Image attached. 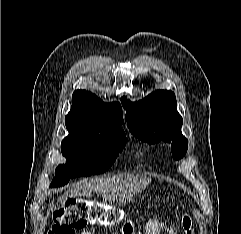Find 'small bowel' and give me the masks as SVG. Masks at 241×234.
Listing matches in <instances>:
<instances>
[{
	"label": "small bowel",
	"instance_id": "c3829d8e",
	"mask_svg": "<svg viewBox=\"0 0 241 234\" xmlns=\"http://www.w3.org/2000/svg\"><path fill=\"white\" fill-rule=\"evenodd\" d=\"M80 234H93V233L91 231L85 230V231H82Z\"/></svg>",
	"mask_w": 241,
	"mask_h": 234
}]
</instances>
